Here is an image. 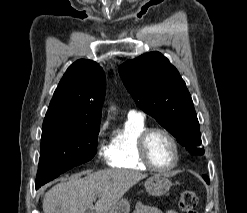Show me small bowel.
<instances>
[{
    "mask_svg": "<svg viewBox=\"0 0 247 213\" xmlns=\"http://www.w3.org/2000/svg\"><path fill=\"white\" fill-rule=\"evenodd\" d=\"M134 213H163V212L157 207L147 205L143 202H139L135 207ZM166 213H178V212L174 210H168Z\"/></svg>",
    "mask_w": 247,
    "mask_h": 213,
    "instance_id": "c3829d8e",
    "label": "small bowel"
}]
</instances>
